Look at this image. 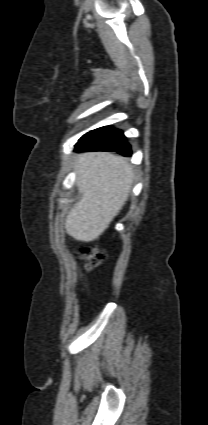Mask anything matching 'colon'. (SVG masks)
Returning a JSON list of instances; mask_svg holds the SVG:
<instances>
[{"instance_id":"5ec220e1","label":"colon","mask_w":208,"mask_h":425,"mask_svg":"<svg viewBox=\"0 0 208 425\" xmlns=\"http://www.w3.org/2000/svg\"><path fill=\"white\" fill-rule=\"evenodd\" d=\"M80 257L85 261L87 268L92 269L106 259V254L97 247L84 246L80 249Z\"/></svg>"}]
</instances>
